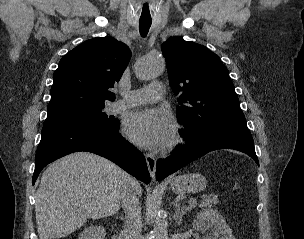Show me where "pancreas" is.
Listing matches in <instances>:
<instances>
[{"instance_id":"obj_1","label":"pancreas","mask_w":304,"mask_h":239,"mask_svg":"<svg viewBox=\"0 0 304 239\" xmlns=\"http://www.w3.org/2000/svg\"><path fill=\"white\" fill-rule=\"evenodd\" d=\"M218 203L217 197L214 195L206 196L204 201L200 204V207H208L211 208L212 206Z\"/></svg>"}]
</instances>
